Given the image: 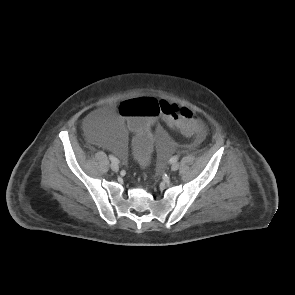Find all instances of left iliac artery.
I'll return each instance as SVG.
<instances>
[{
  "label": "left iliac artery",
  "mask_w": 295,
  "mask_h": 295,
  "mask_svg": "<svg viewBox=\"0 0 295 295\" xmlns=\"http://www.w3.org/2000/svg\"><path fill=\"white\" fill-rule=\"evenodd\" d=\"M178 159H179V157L178 156H173V157H171L170 158V163H175V162H177L178 161Z\"/></svg>",
  "instance_id": "obj_1"
}]
</instances>
